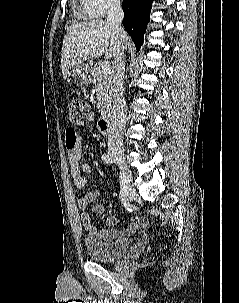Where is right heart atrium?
<instances>
[{
	"mask_svg": "<svg viewBox=\"0 0 239 303\" xmlns=\"http://www.w3.org/2000/svg\"><path fill=\"white\" fill-rule=\"evenodd\" d=\"M122 0H81L84 12L91 17H103L121 7Z\"/></svg>",
	"mask_w": 239,
	"mask_h": 303,
	"instance_id": "d8ad5b80",
	"label": "right heart atrium"
}]
</instances>
